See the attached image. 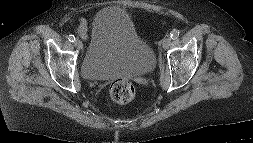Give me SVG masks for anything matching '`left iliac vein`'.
Segmentation results:
<instances>
[{"instance_id": "left-iliac-vein-1", "label": "left iliac vein", "mask_w": 253, "mask_h": 143, "mask_svg": "<svg viewBox=\"0 0 253 143\" xmlns=\"http://www.w3.org/2000/svg\"><path fill=\"white\" fill-rule=\"evenodd\" d=\"M171 38L170 37H167L165 38L163 41H162V47L163 49H168L169 46L171 45Z\"/></svg>"}]
</instances>
